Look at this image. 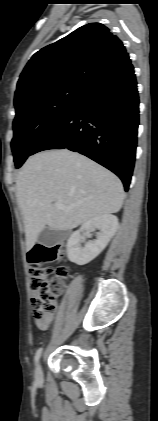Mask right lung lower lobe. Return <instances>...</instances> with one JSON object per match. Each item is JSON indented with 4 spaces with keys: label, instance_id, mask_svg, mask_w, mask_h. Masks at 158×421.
Listing matches in <instances>:
<instances>
[{
    "label": "right lung lower lobe",
    "instance_id": "98d812e1",
    "mask_svg": "<svg viewBox=\"0 0 158 421\" xmlns=\"http://www.w3.org/2000/svg\"><path fill=\"white\" fill-rule=\"evenodd\" d=\"M138 124L137 82L125 53L85 84L68 112L32 154L63 148L79 152L119 176L127 191L135 161Z\"/></svg>",
    "mask_w": 158,
    "mask_h": 421
}]
</instances>
